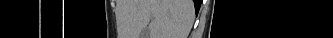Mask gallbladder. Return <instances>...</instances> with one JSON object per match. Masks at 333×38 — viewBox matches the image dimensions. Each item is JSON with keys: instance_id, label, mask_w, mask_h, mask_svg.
Listing matches in <instances>:
<instances>
[{"instance_id": "1", "label": "gallbladder", "mask_w": 333, "mask_h": 38, "mask_svg": "<svg viewBox=\"0 0 333 38\" xmlns=\"http://www.w3.org/2000/svg\"><path fill=\"white\" fill-rule=\"evenodd\" d=\"M150 31L149 28L146 27L142 30V32L140 33V38H149L150 36Z\"/></svg>"}]
</instances>
